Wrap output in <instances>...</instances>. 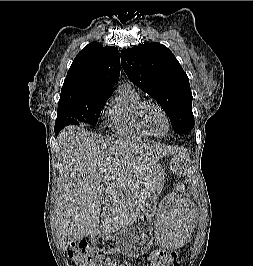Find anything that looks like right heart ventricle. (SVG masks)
Masks as SVG:
<instances>
[{
    "instance_id": "obj_1",
    "label": "right heart ventricle",
    "mask_w": 253,
    "mask_h": 266,
    "mask_svg": "<svg viewBox=\"0 0 253 266\" xmlns=\"http://www.w3.org/2000/svg\"><path fill=\"white\" fill-rule=\"evenodd\" d=\"M146 104L140 93L130 84L122 85L108 110L112 130L122 137L142 140L150 135L141 124V111Z\"/></svg>"
}]
</instances>
